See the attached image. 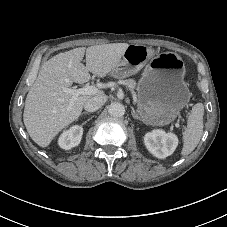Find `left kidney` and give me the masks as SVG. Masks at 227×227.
<instances>
[{
  "instance_id": "left-kidney-1",
  "label": "left kidney",
  "mask_w": 227,
  "mask_h": 227,
  "mask_svg": "<svg viewBox=\"0 0 227 227\" xmlns=\"http://www.w3.org/2000/svg\"><path fill=\"white\" fill-rule=\"evenodd\" d=\"M144 143L150 153L157 158L164 159L175 151L178 138L173 133L153 130L145 135Z\"/></svg>"
}]
</instances>
